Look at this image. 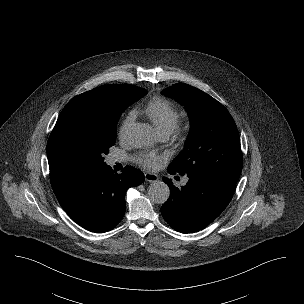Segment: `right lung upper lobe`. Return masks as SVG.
<instances>
[{
  "label": "right lung upper lobe",
  "mask_w": 304,
  "mask_h": 304,
  "mask_svg": "<svg viewBox=\"0 0 304 304\" xmlns=\"http://www.w3.org/2000/svg\"><path fill=\"white\" fill-rule=\"evenodd\" d=\"M128 86L129 84L103 85L74 97L64 107L47 143L50 181L55 195L91 170L60 144L57 135L62 118L71 109L80 105L117 102L122 99Z\"/></svg>",
  "instance_id": "right-lung-upper-lobe-1"
}]
</instances>
